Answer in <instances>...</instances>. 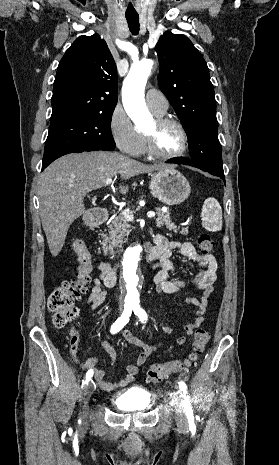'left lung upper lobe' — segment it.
Returning a JSON list of instances; mask_svg holds the SVG:
<instances>
[{
    "label": "left lung upper lobe",
    "mask_w": 279,
    "mask_h": 465,
    "mask_svg": "<svg viewBox=\"0 0 279 465\" xmlns=\"http://www.w3.org/2000/svg\"><path fill=\"white\" fill-rule=\"evenodd\" d=\"M159 87L188 136L191 161L224 176L214 88L207 64L185 35L165 32L156 47Z\"/></svg>",
    "instance_id": "obj_1"
}]
</instances>
